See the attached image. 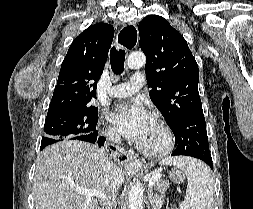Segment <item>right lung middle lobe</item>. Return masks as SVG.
<instances>
[{
    "label": "right lung middle lobe",
    "mask_w": 253,
    "mask_h": 209,
    "mask_svg": "<svg viewBox=\"0 0 253 209\" xmlns=\"http://www.w3.org/2000/svg\"><path fill=\"white\" fill-rule=\"evenodd\" d=\"M97 120L98 108L94 106L64 109L47 115L40 150L65 138L89 135L95 131Z\"/></svg>",
    "instance_id": "1"
}]
</instances>
